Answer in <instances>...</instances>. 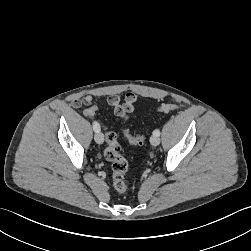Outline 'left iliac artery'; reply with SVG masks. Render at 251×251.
<instances>
[{
	"label": "left iliac artery",
	"mask_w": 251,
	"mask_h": 251,
	"mask_svg": "<svg viewBox=\"0 0 251 251\" xmlns=\"http://www.w3.org/2000/svg\"><path fill=\"white\" fill-rule=\"evenodd\" d=\"M153 135H155V136H160V130H159V129H155V130L153 131Z\"/></svg>",
	"instance_id": "obj_1"
}]
</instances>
